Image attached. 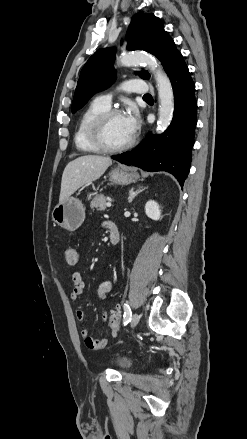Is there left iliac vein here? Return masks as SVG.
I'll return each mask as SVG.
<instances>
[{
	"label": "left iliac vein",
	"mask_w": 247,
	"mask_h": 439,
	"mask_svg": "<svg viewBox=\"0 0 247 439\" xmlns=\"http://www.w3.org/2000/svg\"><path fill=\"white\" fill-rule=\"evenodd\" d=\"M139 320H140V316L137 313H135L131 320V327H135L139 323Z\"/></svg>",
	"instance_id": "left-iliac-vein-1"
}]
</instances>
